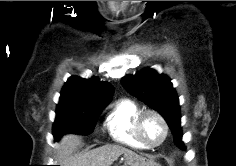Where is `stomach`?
I'll use <instances>...</instances> for the list:
<instances>
[{
	"label": "stomach",
	"mask_w": 236,
	"mask_h": 166,
	"mask_svg": "<svg viewBox=\"0 0 236 166\" xmlns=\"http://www.w3.org/2000/svg\"><path fill=\"white\" fill-rule=\"evenodd\" d=\"M125 166H131V165H125ZM149 166H159V165H157L156 163H152V164L149 165Z\"/></svg>",
	"instance_id": "1"
}]
</instances>
